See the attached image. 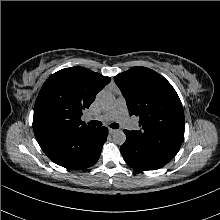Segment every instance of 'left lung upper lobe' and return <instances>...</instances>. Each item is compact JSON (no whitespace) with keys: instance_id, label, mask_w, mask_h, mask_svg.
I'll return each instance as SVG.
<instances>
[{"instance_id":"1","label":"left lung upper lobe","mask_w":220,"mask_h":220,"mask_svg":"<svg viewBox=\"0 0 220 220\" xmlns=\"http://www.w3.org/2000/svg\"><path fill=\"white\" fill-rule=\"evenodd\" d=\"M129 114L139 117L138 130L126 132L173 157L184 139V111L172 85L157 72L134 67L114 77Z\"/></svg>"}]
</instances>
